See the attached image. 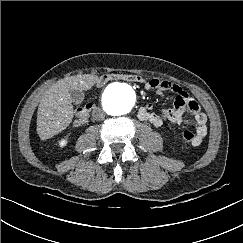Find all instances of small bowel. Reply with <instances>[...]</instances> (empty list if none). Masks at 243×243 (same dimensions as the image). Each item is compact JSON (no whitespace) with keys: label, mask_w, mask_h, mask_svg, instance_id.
Here are the masks:
<instances>
[{"label":"small bowel","mask_w":243,"mask_h":243,"mask_svg":"<svg viewBox=\"0 0 243 243\" xmlns=\"http://www.w3.org/2000/svg\"><path fill=\"white\" fill-rule=\"evenodd\" d=\"M145 88L155 90L159 94L165 91L173 92L175 94L174 108L155 113L153 105L148 104L138 110V117L158 127L168 122L181 124L184 121V113L188 111L191 114L189 123L195 130V139L191 144L199 146L206 136L207 118L198 103L179 85L166 80L151 79L145 83Z\"/></svg>","instance_id":"c3829d8e"}]
</instances>
